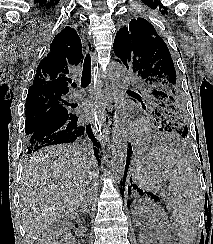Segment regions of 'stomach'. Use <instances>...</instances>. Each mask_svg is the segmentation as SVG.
Here are the masks:
<instances>
[{"label":"stomach","instance_id":"1","mask_svg":"<svg viewBox=\"0 0 213 244\" xmlns=\"http://www.w3.org/2000/svg\"><path fill=\"white\" fill-rule=\"evenodd\" d=\"M138 154L132 163L133 180L136 186L146 192L159 194L165 178L156 169L155 149H138Z\"/></svg>","mask_w":213,"mask_h":244}]
</instances>
